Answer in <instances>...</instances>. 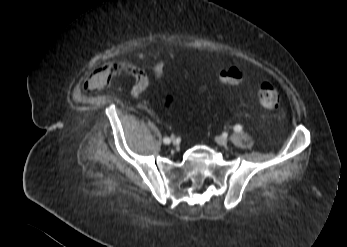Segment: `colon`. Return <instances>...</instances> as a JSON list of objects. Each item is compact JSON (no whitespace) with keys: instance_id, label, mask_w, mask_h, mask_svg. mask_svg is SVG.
Here are the masks:
<instances>
[{"instance_id":"obj_1","label":"colon","mask_w":347,"mask_h":247,"mask_svg":"<svg viewBox=\"0 0 347 247\" xmlns=\"http://www.w3.org/2000/svg\"><path fill=\"white\" fill-rule=\"evenodd\" d=\"M242 80L241 72L236 68H230L220 73V81L228 85H238ZM256 97L260 104L268 109L276 108L279 104L278 88L276 84L270 80H263L256 86ZM175 102V96L168 93L164 99L165 107H171Z\"/></svg>"}]
</instances>
